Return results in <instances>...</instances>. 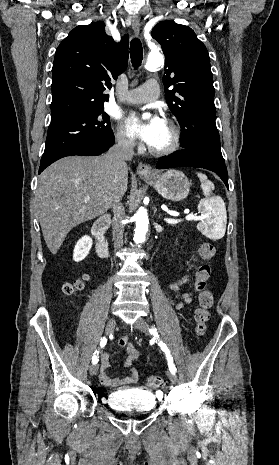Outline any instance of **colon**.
Instances as JSON below:
<instances>
[{
	"label": "colon",
	"mask_w": 279,
	"mask_h": 465,
	"mask_svg": "<svg viewBox=\"0 0 279 465\" xmlns=\"http://www.w3.org/2000/svg\"><path fill=\"white\" fill-rule=\"evenodd\" d=\"M198 254L202 258L203 263L197 268L195 275L194 288L198 295V307L195 310L194 317L196 321V333L202 336L206 333L209 310L213 305V295L206 288V284L211 276L210 261L215 255V247L211 242H201L198 247ZM85 279L86 277L84 276L82 279L64 284L63 292L67 295H72L81 290ZM146 384L149 388L157 389L164 384V380L160 376L151 375L147 377Z\"/></svg>",
	"instance_id": "obj_1"
}]
</instances>
